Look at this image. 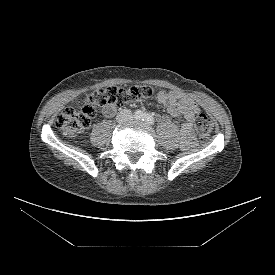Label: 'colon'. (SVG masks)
Wrapping results in <instances>:
<instances>
[{"mask_svg": "<svg viewBox=\"0 0 275 275\" xmlns=\"http://www.w3.org/2000/svg\"><path fill=\"white\" fill-rule=\"evenodd\" d=\"M154 90L150 86L118 87L109 86L100 88L90 94L82 108H66L55 119V126L65 137H73L81 130L87 128L96 115L98 106L116 104L119 106L136 103L142 99L150 98ZM196 131L202 142L206 141L211 132L209 118L200 114L195 123Z\"/></svg>", "mask_w": 275, "mask_h": 275, "instance_id": "1", "label": "colon"}]
</instances>
